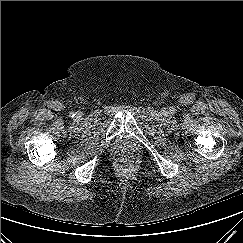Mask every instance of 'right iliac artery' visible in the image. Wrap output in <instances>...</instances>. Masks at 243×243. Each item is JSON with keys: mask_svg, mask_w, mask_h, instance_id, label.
Wrapping results in <instances>:
<instances>
[{"mask_svg": "<svg viewBox=\"0 0 243 243\" xmlns=\"http://www.w3.org/2000/svg\"><path fill=\"white\" fill-rule=\"evenodd\" d=\"M69 116H70V117H74V116H75V113H74L73 111H71V112L69 113Z\"/></svg>", "mask_w": 243, "mask_h": 243, "instance_id": "82829eb1", "label": "right iliac artery"}]
</instances>
